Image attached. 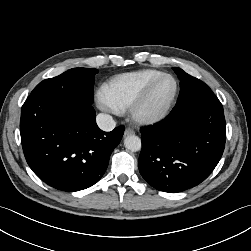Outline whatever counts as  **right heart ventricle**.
Masks as SVG:
<instances>
[{
    "mask_svg": "<svg viewBox=\"0 0 251 251\" xmlns=\"http://www.w3.org/2000/svg\"><path fill=\"white\" fill-rule=\"evenodd\" d=\"M164 74L155 69H145L114 76L103 87L108 99L123 111L132 105L143 89L155 78Z\"/></svg>",
    "mask_w": 251,
    "mask_h": 251,
    "instance_id": "1",
    "label": "right heart ventricle"
}]
</instances>
